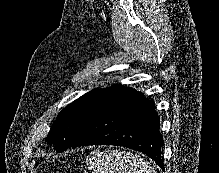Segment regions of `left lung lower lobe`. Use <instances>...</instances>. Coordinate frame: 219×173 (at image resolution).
<instances>
[{
  "label": "left lung lower lobe",
  "instance_id": "left-lung-lower-lobe-1",
  "mask_svg": "<svg viewBox=\"0 0 219 173\" xmlns=\"http://www.w3.org/2000/svg\"><path fill=\"white\" fill-rule=\"evenodd\" d=\"M154 101L126 87L92 118L70 147L117 145L138 150L164 170L161 159L163 137Z\"/></svg>",
  "mask_w": 219,
  "mask_h": 173
}]
</instances>
